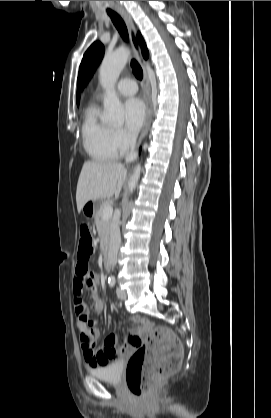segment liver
Listing matches in <instances>:
<instances>
[{
	"instance_id": "liver-1",
	"label": "liver",
	"mask_w": 271,
	"mask_h": 418,
	"mask_svg": "<svg viewBox=\"0 0 271 418\" xmlns=\"http://www.w3.org/2000/svg\"><path fill=\"white\" fill-rule=\"evenodd\" d=\"M127 170L118 162L86 161L79 175L76 202L78 213L86 202L118 197L126 180Z\"/></svg>"
}]
</instances>
